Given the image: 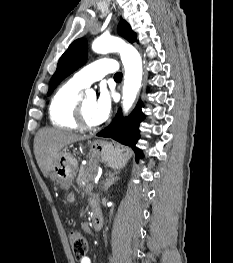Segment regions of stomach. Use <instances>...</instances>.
Masks as SVG:
<instances>
[{"instance_id":"obj_1","label":"stomach","mask_w":233,"mask_h":263,"mask_svg":"<svg viewBox=\"0 0 233 263\" xmlns=\"http://www.w3.org/2000/svg\"><path fill=\"white\" fill-rule=\"evenodd\" d=\"M90 153L93 157L104 162L113 169H121L128 162L131 153L128 149L113 146L111 143L96 140L89 142ZM77 173V161L66 150L60 152L58 159L50 170V177L60 188L68 189Z\"/></svg>"}]
</instances>
